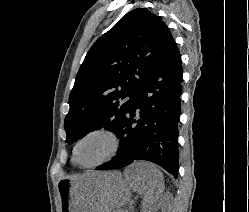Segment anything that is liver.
<instances>
[{
    "instance_id": "obj_1",
    "label": "liver",
    "mask_w": 249,
    "mask_h": 212,
    "mask_svg": "<svg viewBox=\"0 0 249 212\" xmlns=\"http://www.w3.org/2000/svg\"><path fill=\"white\" fill-rule=\"evenodd\" d=\"M154 170H157L154 164L135 162L126 168L124 176L114 174V172L100 174L99 186L100 192L105 198L106 212H111V208L126 206L131 200V190L142 196V206L146 212L154 210L155 204L158 202L157 194L163 192V178L159 174H155ZM86 176L88 178V176H98V174L97 172H88ZM155 184H159L160 190H155ZM150 190H152L153 196H150Z\"/></svg>"
}]
</instances>
